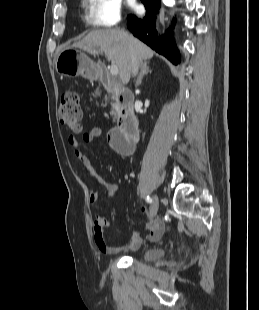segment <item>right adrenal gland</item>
<instances>
[{"mask_svg": "<svg viewBox=\"0 0 259 310\" xmlns=\"http://www.w3.org/2000/svg\"><path fill=\"white\" fill-rule=\"evenodd\" d=\"M148 63L147 61L143 62L142 65H141V71H140V74L137 78V81H136V86H139L141 85L142 83V79L145 75H147L148 73H151V71L149 70V66H148Z\"/></svg>", "mask_w": 259, "mask_h": 310, "instance_id": "right-adrenal-gland-1", "label": "right adrenal gland"}]
</instances>
